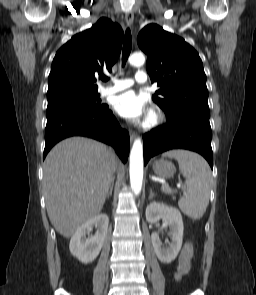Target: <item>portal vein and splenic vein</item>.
<instances>
[{
  "mask_svg": "<svg viewBox=\"0 0 256 295\" xmlns=\"http://www.w3.org/2000/svg\"><path fill=\"white\" fill-rule=\"evenodd\" d=\"M177 186H178V187H181V185H180V184H178Z\"/></svg>",
  "mask_w": 256,
  "mask_h": 295,
  "instance_id": "1",
  "label": "portal vein and splenic vein"
}]
</instances>
